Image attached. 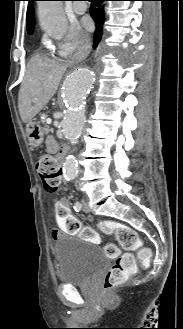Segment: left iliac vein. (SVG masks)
Segmentation results:
<instances>
[{
  "label": "left iliac vein",
  "mask_w": 183,
  "mask_h": 329,
  "mask_svg": "<svg viewBox=\"0 0 183 329\" xmlns=\"http://www.w3.org/2000/svg\"><path fill=\"white\" fill-rule=\"evenodd\" d=\"M82 210L85 212V213H89L90 212V207H89V204L87 201H83V204H82Z\"/></svg>",
  "instance_id": "left-iliac-vein-1"
}]
</instances>
